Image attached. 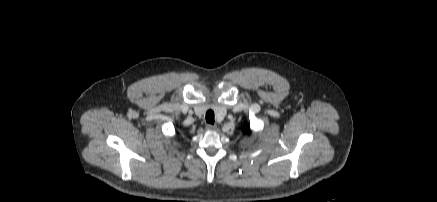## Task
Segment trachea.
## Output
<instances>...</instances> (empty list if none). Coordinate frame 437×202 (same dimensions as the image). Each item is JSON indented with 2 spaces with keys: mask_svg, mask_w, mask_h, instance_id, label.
<instances>
[{
  "mask_svg": "<svg viewBox=\"0 0 437 202\" xmlns=\"http://www.w3.org/2000/svg\"><path fill=\"white\" fill-rule=\"evenodd\" d=\"M206 122L209 124H214V112L212 110H208L206 112Z\"/></svg>",
  "mask_w": 437,
  "mask_h": 202,
  "instance_id": "obj_1",
  "label": "trachea"
}]
</instances>
